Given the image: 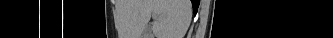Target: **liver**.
Segmentation results:
<instances>
[{"mask_svg":"<svg viewBox=\"0 0 333 38\" xmlns=\"http://www.w3.org/2000/svg\"><path fill=\"white\" fill-rule=\"evenodd\" d=\"M136 31L142 36L143 30L155 15L152 31L156 38H183L191 21L190 0H137Z\"/></svg>","mask_w":333,"mask_h":38,"instance_id":"1","label":"liver"}]
</instances>
